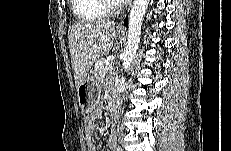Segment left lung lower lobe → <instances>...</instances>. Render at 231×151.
Returning a JSON list of instances; mask_svg holds the SVG:
<instances>
[{
	"mask_svg": "<svg viewBox=\"0 0 231 151\" xmlns=\"http://www.w3.org/2000/svg\"><path fill=\"white\" fill-rule=\"evenodd\" d=\"M124 23L126 26H128V19L127 18L124 20Z\"/></svg>",
	"mask_w": 231,
	"mask_h": 151,
	"instance_id": "left-lung-lower-lobe-1",
	"label": "left lung lower lobe"
}]
</instances>
